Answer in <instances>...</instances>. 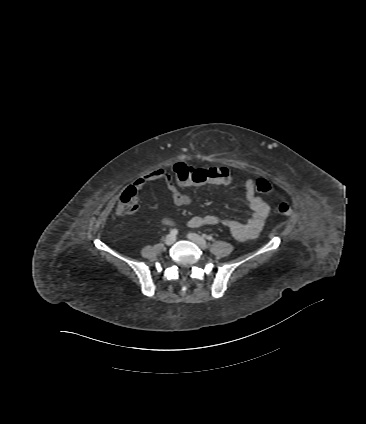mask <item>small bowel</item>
Masks as SVG:
<instances>
[{
    "label": "small bowel",
    "mask_w": 366,
    "mask_h": 424,
    "mask_svg": "<svg viewBox=\"0 0 366 424\" xmlns=\"http://www.w3.org/2000/svg\"><path fill=\"white\" fill-rule=\"evenodd\" d=\"M221 170L229 171V169L226 167H218L217 172L220 175ZM229 177L231 180V173ZM158 179H163L165 181L174 204L177 206H187L191 203L190 197L179 191V189L174 184L170 174L163 169L152 171L138 178L134 182V188L140 189L146 183ZM210 184L223 185L227 183L223 182L222 178L218 177ZM244 187L245 201L252 210V215L247 222L222 219L216 215H203L191 218L188 222V227L191 229H197L207 225H223L230 231L232 236L239 241H246L257 237L267 220L269 214V205L265 200L256 194V183L253 179H246ZM160 222L163 226L167 227H172L175 225V221L171 218H162Z\"/></svg>",
    "instance_id": "obj_1"
}]
</instances>
